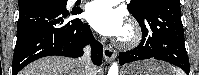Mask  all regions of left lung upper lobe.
Instances as JSON below:
<instances>
[{
  "mask_svg": "<svg viewBox=\"0 0 199 75\" xmlns=\"http://www.w3.org/2000/svg\"><path fill=\"white\" fill-rule=\"evenodd\" d=\"M159 0H131L127 5L128 10L133 16L142 17L143 14Z\"/></svg>",
  "mask_w": 199,
  "mask_h": 75,
  "instance_id": "left-lung-upper-lobe-1",
  "label": "left lung upper lobe"
}]
</instances>
